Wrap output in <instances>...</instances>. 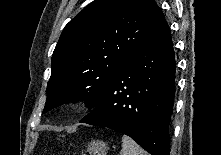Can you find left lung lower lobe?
Wrapping results in <instances>:
<instances>
[{
    "instance_id": "left-lung-lower-lobe-1",
    "label": "left lung lower lobe",
    "mask_w": 221,
    "mask_h": 155,
    "mask_svg": "<svg viewBox=\"0 0 221 155\" xmlns=\"http://www.w3.org/2000/svg\"><path fill=\"white\" fill-rule=\"evenodd\" d=\"M175 71L170 29L162 13L80 122L126 134L151 155H169Z\"/></svg>"
}]
</instances>
